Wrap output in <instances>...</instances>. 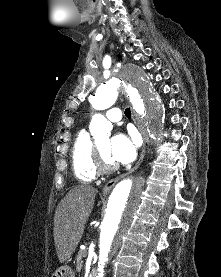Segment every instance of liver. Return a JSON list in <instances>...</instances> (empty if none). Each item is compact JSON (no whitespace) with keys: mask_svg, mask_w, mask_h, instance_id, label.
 I'll use <instances>...</instances> for the list:
<instances>
[{"mask_svg":"<svg viewBox=\"0 0 221 277\" xmlns=\"http://www.w3.org/2000/svg\"><path fill=\"white\" fill-rule=\"evenodd\" d=\"M97 190L89 185L72 188L57 206L54 241L58 259L67 261L78 246L90 216Z\"/></svg>","mask_w":221,"mask_h":277,"instance_id":"6515ba94","label":"liver"}]
</instances>
